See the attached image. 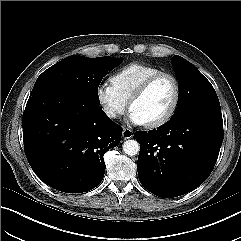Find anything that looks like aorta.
<instances>
[{"mask_svg":"<svg viewBox=\"0 0 241 241\" xmlns=\"http://www.w3.org/2000/svg\"><path fill=\"white\" fill-rule=\"evenodd\" d=\"M140 150L139 143L136 140H127L123 143V151L128 156H134L138 154Z\"/></svg>","mask_w":241,"mask_h":241,"instance_id":"762f6f07","label":"aorta"}]
</instances>
